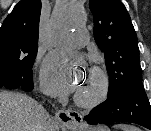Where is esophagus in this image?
<instances>
[{
  "label": "esophagus",
  "mask_w": 151,
  "mask_h": 131,
  "mask_svg": "<svg viewBox=\"0 0 151 131\" xmlns=\"http://www.w3.org/2000/svg\"><path fill=\"white\" fill-rule=\"evenodd\" d=\"M57 119L68 128H76L82 122V115L74 110H58Z\"/></svg>",
  "instance_id": "esophagus-1"
}]
</instances>
